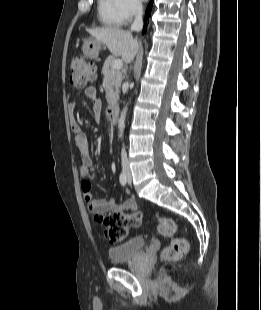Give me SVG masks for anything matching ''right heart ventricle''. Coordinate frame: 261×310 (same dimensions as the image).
Masks as SVG:
<instances>
[{
  "label": "right heart ventricle",
  "mask_w": 261,
  "mask_h": 310,
  "mask_svg": "<svg viewBox=\"0 0 261 310\" xmlns=\"http://www.w3.org/2000/svg\"><path fill=\"white\" fill-rule=\"evenodd\" d=\"M97 16L99 22L107 27H119L123 24L117 12L116 0H97Z\"/></svg>",
  "instance_id": "e07e8e85"
}]
</instances>
